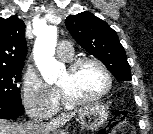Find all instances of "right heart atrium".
<instances>
[{
  "label": "right heart atrium",
  "instance_id": "right-heart-atrium-1",
  "mask_svg": "<svg viewBox=\"0 0 153 134\" xmlns=\"http://www.w3.org/2000/svg\"><path fill=\"white\" fill-rule=\"evenodd\" d=\"M22 100L26 111L38 118L54 113L58 104V93L34 70H28L23 77Z\"/></svg>",
  "mask_w": 153,
  "mask_h": 134
}]
</instances>
